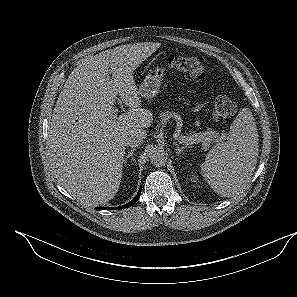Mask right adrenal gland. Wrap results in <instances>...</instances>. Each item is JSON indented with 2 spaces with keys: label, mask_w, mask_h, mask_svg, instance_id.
<instances>
[{
  "label": "right adrenal gland",
  "mask_w": 297,
  "mask_h": 297,
  "mask_svg": "<svg viewBox=\"0 0 297 297\" xmlns=\"http://www.w3.org/2000/svg\"><path fill=\"white\" fill-rule=\"evenodd\" d=\"M135 150H136V149L133 148V149H131V150L128 151V154H127V156H126L125 159H124V163H125V164L127 163V159H128V158H131V160L134 161V156H133V154H134V151H135Z\"/></svg>",
  "instance_id": "right-adrenal-gland-1"
}]
</instances>
